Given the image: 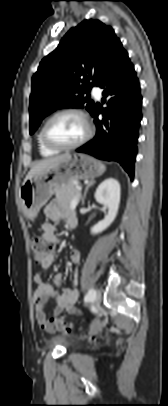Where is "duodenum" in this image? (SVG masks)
<instances>
[{"instance_id":"1","label":"duodenum","mask_w":168,"mask_h":406,"mask_svg":"<svg viewBox=\"0 0 168 406\" xmlns=\"http://www.w3.org/2000/svg\"><path fill=\"white\" fill-rule=\"evenodd\" d=\"M75 225H76V222L70 223V226H71V227H74Z\"/></svg>"}]
</instances>
